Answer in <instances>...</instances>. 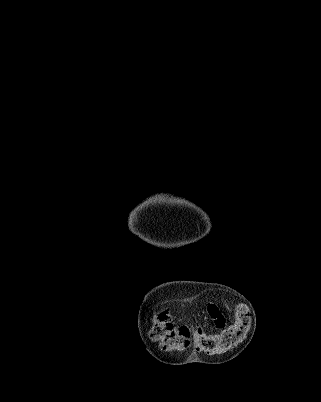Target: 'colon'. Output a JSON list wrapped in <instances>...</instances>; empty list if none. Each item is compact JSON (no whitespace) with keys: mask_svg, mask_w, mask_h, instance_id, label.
I'll return each mask as SVG.
<instances>
[{"mask_svg":"<svg viewBox=\"0 0 321 402\" xmlns=\"http://www.w3.org/2000/svg\"><path fill=\"white\" fill-rule=\"evenodd\" d=\"M250 323L249 311L242 305L236 309L234 322L215 334L177 326L167 312H162L156 316L150 335L166 351H183L193 346L206 353H218L238 343Z\"/></svg>","mask_w":321,"mask_h":402,"instance_id":"colon-1","label":"colon"}]
</instances>
